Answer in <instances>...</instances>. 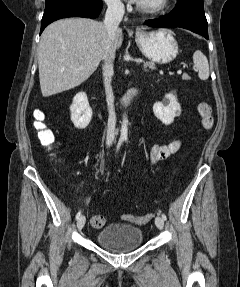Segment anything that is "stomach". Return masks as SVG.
I'll list each match as a JSON object with an SVG mask.
<instances>
[{
	"label": "stomach",
	"mask_w": 240,
	"mask_h": 287,
	"mask_svg": "<svg viewBox=\"0 0 240 287\" xmlns=\"http://www.w3.org/2000/svg\"><path fill=\"white\" fill-rule=\"evenodd\" d=\"M135 41L142 54L152 62L166 64L178 54V44L169 29H158L151 32L138 31Z\"/></svg>",
	"instance_id": "1"
}]
</instances>
